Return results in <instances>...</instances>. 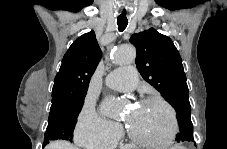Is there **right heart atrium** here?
I'll list each match as a JSON object with an SVG mask.
<instances>
[{
    "label": "right heart atrium",
    "instance_id": "1",
    "mask_svg": "<svg viewBox=\"0 0 227 149\" xmlns=\"http://www.w3.org/2000/svg\"><path fill=\"white\" fill-rule=\"evenodd\" d=\"M122 134L119 124L107 120L85 102L78 116L75 137L78 144L93 148H108L117 143Z\"/></svg>",
    "mask_w": 227,
    "mask_h": 149
}]
</instances>
